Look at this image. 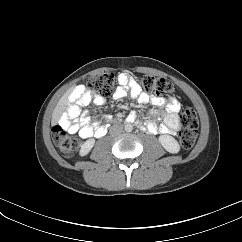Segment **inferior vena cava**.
<instances>
[{
	"instance_id": "1",
	"label": "inferior vena cava",
	"mask_w": 242,
	"mask_h": 242,
	"mask_svg": "<svg viewBox=\"0 0 242 242\" xmlns=\"http://www.w3.org/2000/svg\"><path fill=\"white\" fill-rule=\"evenodd\" d=\"M122 131H123V128L121 126L116 125L111 128L112 135H118V134L122 133Z\"/></svg>"
}]
</instances>
